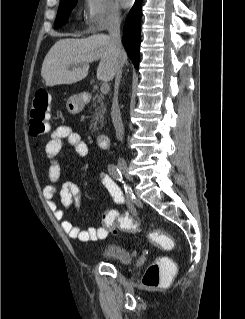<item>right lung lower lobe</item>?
Returning a JSON list of instances; mask_svg holds the SVG:
<instances>
[{"label": "right lung lower lobe", "mask_w": 245, "mask_h": 319, "mask_svg": "<svg viewBox=\"0 0 245 319\" xmlns=\"http://www.w3.org/2000/svg\"><path fill=\"white\" fill-rule=\"evenodd\" d=\"M140 19V0H137L127 16L123 33L124 47L136 68L139 60Z\"/></svg>", "instance_id": "right-lung-lower-lobe-1"}]
</instances>
